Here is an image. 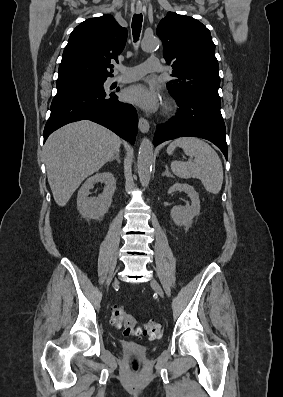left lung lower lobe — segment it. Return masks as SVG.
<instances>
[{"instance_id": "obj_1", "label": "left lung lower lobe", "mask_w": 283, "mask_h": 397, "mask_svg": "<svg viewBox=\"0 0 283 397\" xmlns=\"http://www.w3.org/2000/svg\"><path fill=\"white\" fill-rule=\"evenodd\" d=\"M177 115L164 124L157 125L153 143L183 136H194L214 143L228 158L226 128L221 115V104L199 97L177 100Z\"/></svg>"}]
</instances>
